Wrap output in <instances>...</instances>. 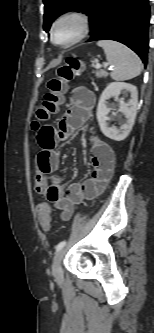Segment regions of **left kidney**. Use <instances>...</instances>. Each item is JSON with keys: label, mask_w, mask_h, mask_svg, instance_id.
I'll return each mask as SVG.
<instances>
[{"label": "left kidney", "mask_w": 154, "mask_h": 333, "mask_svg": "<svg viewBox=\"0 0 154 333\" xmlns=\"http://www.w3.org/2000/svg\"><path fill=\"white\" fill-rule=\"evenodd\" d=\"M129 92L131 99L125 103L124 99H120L118 112H121L126 121H121L119 128L110 126L109 122L112 120L108 114L111 112V108L108 106V100L111 97L118 98L121 93ZM138 105V91L137 87L124 82H112L107 85L101 94L97 107V120L102 133L115 141L124 140L132 130L135 122Z\"/></svg>", "instance_id": "obj_1"}]
</instances>
